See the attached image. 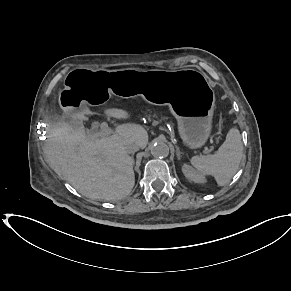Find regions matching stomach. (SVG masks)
<instances>
[{
  "mask_svg": "<svg viewBox=\"0 0 291 291\" xmlns=\"http://www.w3.org/2000/svg\"><path fill=\"white\" fill-rule=\"evenodd\" d=\"M65 83L59 95L65 112H84L86 105L106 102L111 94L140 95L169 105L179 135L189 147L203 146L211 134L215 95L206 76L197 70L78 69L68 73Z\"/></svg>",
  "mask_w": 291,
  "mask_h": 291,
  "instance_id": "1",
  "label": "stomach"
}]
</instances>
